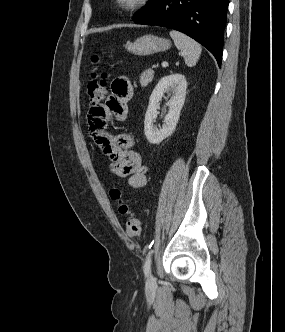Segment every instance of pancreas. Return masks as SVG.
Returning a JSON list of instances; mask_svg holds the SVG:
<instances>
[{"mask_svg": "<svg viewBox=\"0 0 285 332\" xmlns=\"http://www.w3.org/2000/svg\"><path fill=\"white\" fill-rule=\"evenodd\" d=\"M154 72L151 69L144 71L140 76V84L147 86L153 79Z\"/></svg>", "mask_w": 285, "mask_h": 332, "instance_id": "obj_1", "label": "pancreas"}]
</instances>
